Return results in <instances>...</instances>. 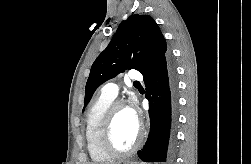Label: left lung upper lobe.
<instances>
[{
    "label": "left lung upper lobe",
    "instance_id": "obj_1",
    "mask_svg": "<svg viewBox=\"0 0 251 164\" xmlns=\"http://www.w3.org/2000/svg\"><path fill=\"white\" fill-rule=\"evenodd\" d=\"M167 56L166 41L156 22L148 15L130 16L94 61L86 83L84 106L108 79L126 69H136L145 76Z\"/></svg>",
    "mask_w": 251,
    "mask_h": 164
}]
</instances>
